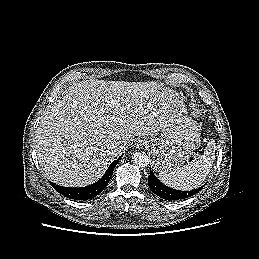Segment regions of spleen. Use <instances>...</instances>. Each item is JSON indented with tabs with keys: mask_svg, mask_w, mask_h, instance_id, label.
I'll return each mask as SVG.
<instances>
[{
	"mask_svg": "<svg viewBox=\"0 0 259 259\" xmlns=\"http://www.w3.org/2000/svg\"><path fill=\"white\" fill-rule=\"evenodd\" d=\"M215 149V141H209L203 155L181 168H177L170 172H160V180L164 184L179 190H192L198 188L202 185L210 172L215 159Z\"/></svg>",
	"mask_w": 259,
	"mask_h": 259,
	"instance_id": "obj_1",
	"label": "spleen"
}]
</instances>
